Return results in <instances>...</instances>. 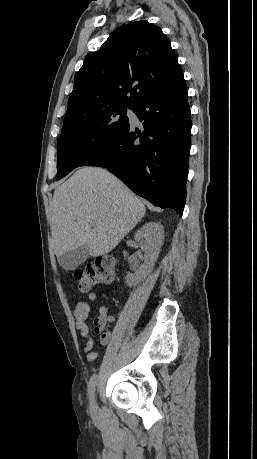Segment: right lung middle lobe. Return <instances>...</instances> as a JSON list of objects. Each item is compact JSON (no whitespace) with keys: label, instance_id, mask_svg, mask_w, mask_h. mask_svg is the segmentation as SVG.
Wrapping results in <instances>:
<instances>
[{"label":"right lung middle lobe","instance_id":"dd1d6c3e","mask_svg":"<svg viewBox=\"0 0 257 459\" xmlns=\"http://www.w3.org/2000/svg\"><path fill=\"white\" fill-rule=\"evenodd\" d=\"M126 114L127 107H114L63 128L58 142L56 179L114 143L130 125Z\"/></svg>","mask_w":257,"mask_h":459}]
</instances>
